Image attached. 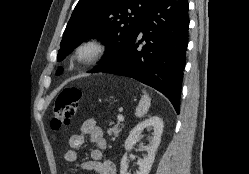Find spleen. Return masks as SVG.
<instances>
[{
  "label": "spleen",
  "instance_id": "spleen-1",
  "mask_svg": "<svg viewBox=\"0 0 249 174\" xmlns=\"http://www.w3.org/2000/svg\"><path fill=\"white\" fill-rule=\"evenodd\" d=\"M143 93L144 94L142 95L135 112V115L138 118L143 117L148 112L151 105L150 97L145 91H143Z\"/></svg>",
  "mask_w": 249,
  "mask_h": 174
}]
</instances>
